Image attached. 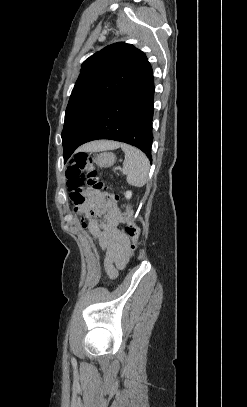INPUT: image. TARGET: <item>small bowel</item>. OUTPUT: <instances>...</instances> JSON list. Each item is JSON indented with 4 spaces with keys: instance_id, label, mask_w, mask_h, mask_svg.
Segmentation results:
<instances>
[{
    "instance_id": "small-bowel-1",
    "label": "small bowel",
    "mask_w": 247,
    "mask_h": 407,
    "mask_svg": "<svg viewBox=\"0 0 247 407\" xmlns=\"http://www.w3.org/2000/svg\"><path fill=\"white\" fill-rule=\"evenodd\" d=\"M87 199L76 205L83 215L82 224L105 253L104 265L110 276L123 268L130 258V238L119 228L124 222L113 196L89 193Z\"/></svg>"
}]
</instances>
